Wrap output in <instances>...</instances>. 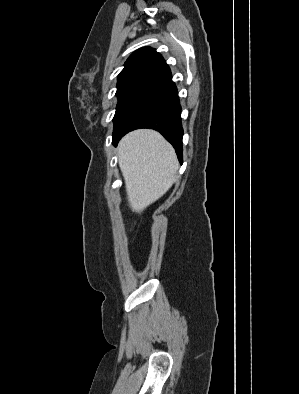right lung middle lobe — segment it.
Masks as SVG:
<instances>
[{
    "label": "right lung middle lobe",
    "instance_id": "obj_1",
    "mask_svg": "<svg viewBox=\"0 0 299 394\" xmlns=\"http://www.w3.org/2000/svg\"><path fill=\"white\" fill-rule=\"evenodd\" d=\"M147 90L140 86H125L117 88L118 104L113 118L114 129L127 111V109Z\"/></svg>",
    "mask_w": 299,
    "mask_h": 394
}]
</instances>
